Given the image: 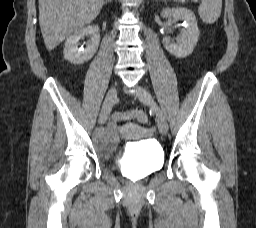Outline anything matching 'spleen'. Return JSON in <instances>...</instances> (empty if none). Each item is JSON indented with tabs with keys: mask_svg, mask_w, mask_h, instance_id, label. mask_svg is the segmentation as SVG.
<instances>
[{
	"mask_svg": "<svg viewBox=\"0 0 256 228\" xmlns=\"http://www.w3.org/2000/svg\"><path fill=\"white\" fill-rule=\"evenodd\" d=\"M222 0H202L198 12L206 24H213L221 15Z\"/></svg>",
	"mask_w": 256,
	"mask_h": 228,
	"instance_id": "3e777b00",
	"label": "spleen"
}]
</instances>
